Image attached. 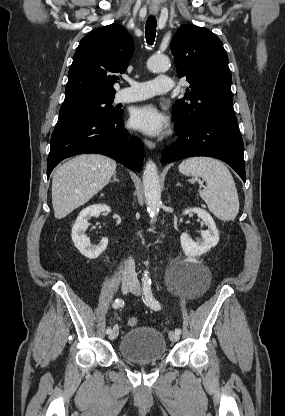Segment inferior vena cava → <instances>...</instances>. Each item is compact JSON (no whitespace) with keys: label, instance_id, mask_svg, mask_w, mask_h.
Segmentation results:
<instances>
[{"label":"inferior vena cava","instance_id":"inferior-vena-cava-1","mask_svg":"<svg viewBox=\"0 0 285 416\" xmlns=\"http://www.w3.org/2000/svg\"><path fill=\"white\" fill-rule=\"evenodd\" d=\"M125 276H136L135 272V262L132 260V258H129L125 264V270H124Z\"/></svg>","mask_w":285,"mask_h":416}]
</instances>
